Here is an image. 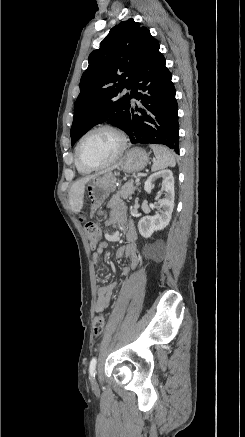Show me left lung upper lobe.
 <instances>
[{
    "mask_svg": "<svg viewBox=\"0 0 245 437\" xmlns=\"http://www.w3.org/2000/svg\"><path fill=\"white\" fill-rule=\"evenodd\" d=\"M159 42L133 19L113 27L89 55V66L80 80V94L74 106L71 145L94 125L108 121L125 131L130 96L116 100L124 88L131 89L140 68Z\"/></svg>",
    "mask_w": 245,
    "mask_h": 437,
    "instance_id": "5c2ea615",
    "label": "left lung upper lobe"
}]
</instances>
